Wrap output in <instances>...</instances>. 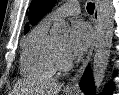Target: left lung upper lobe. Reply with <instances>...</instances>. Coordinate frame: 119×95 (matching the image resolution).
<instances>
[{
	"instance_id": "5c2ea615",
	"label": "left lung upper lobe",
	"mask_w": 119,
	"mask_h": 95,
	"mask_svg": "<svg viewBox=\"0 0 119 95\" xmlns=\"http://www.w3.org/2000/svg\"><path fill=\"white\" fill-rule=\"evenodd\" d=\"M56 0H34L30 6L29 22L35 25L54 6ZM29 30V25L25 26V33Z\"/></svg>"
}]
</instances>
